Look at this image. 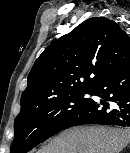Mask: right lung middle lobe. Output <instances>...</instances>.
I'll use <instances>...</instances> for the list:
<instances>
[{"label":"right lung middle lobe","mask_w":130,"mask_h":153,"mask_svg":"<svg viewBox=\"0 0 130 153\" xmlns=\"http://www.w3.org/2000/svg\"><path fill=\"white\" fill-rule=\"evenodd\" d=\"M91 91L69 93L43 102L14 120L11 153H27L63 129L65 124L91 99Z\"/></svg>","instance_id":"obj_1"}]
</instances>
